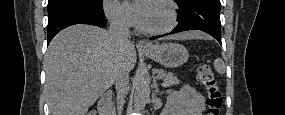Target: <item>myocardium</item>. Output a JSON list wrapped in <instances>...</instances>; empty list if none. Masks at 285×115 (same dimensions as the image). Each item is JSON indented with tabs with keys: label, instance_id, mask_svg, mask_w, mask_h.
I'll use <instances>...</instances> for the list:
<instances>
[{
	"label": "myocardium",
	"instance_id": "f54148a6",
	"mask_svg": "<svg viewBox=\"0 0 285 115\" xmlns=\"http://www.w3.org/2000/svg\"><path fill=\"white\" fill-rule=\"evenodd\" d=\"M152 2H160L165 4L168 9H169V15H170V22L169 25L161 28V29H148L146 27H144L142 24L140 26V29L150 35H163L166 33L171 32L177 25L178 23V12H177V7L174 3V1L172 0H155Z\"/></svg>",
	"mask_w": 285,
	"mask_h": 115
}]
</instances>
